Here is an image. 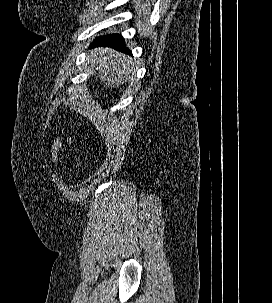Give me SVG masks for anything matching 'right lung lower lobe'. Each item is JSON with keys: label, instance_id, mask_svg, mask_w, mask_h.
Listing matches in <instances>:
<instances>
[{"label": "right lung lower lobe", "instance_id": "right-lung-lower-lobe-1", "mask_svg": "<svg viewBox=\"0 0 272 303\" xmlns=\"http://www.w3.org/2000/svg\"><path fill=\"white\" fill-rule=\"evenodd\" d=\"M107 46L119 50L124 53H131V51L126 48L124 39L120 34L105 35L97 38L91 47Z\"/></svg>", "mask_w": 272, "mask_h": 303}]
</instances>
